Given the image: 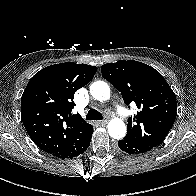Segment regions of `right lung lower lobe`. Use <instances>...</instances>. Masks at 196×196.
I'll list each match as a JSON object with an SVG mask.
<instances>
[{
	"label": "right lung lower lobe",
	"mask_w": 196,
	"mask_h": 196,
	"mask_svg": "<svg viewBox=\"0 0 196 196\" xmlns=\"http://www.w3.org/2000/svg\"><path fill=\"white\" fill-rule=\"evenodd\" d=\"M92 133L93 127L89 128V130L84 133V135H82L71 147L55 154L54 156L64 159L73 158L79 154H82L88 148L91 142Z\"/></svg>",
	"instance_id": "obj_1"
}]
</instances>
